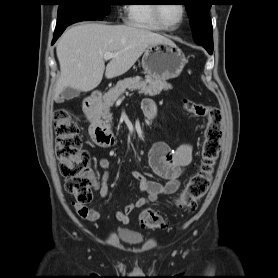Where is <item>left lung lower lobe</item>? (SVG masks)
<instances>
[{
    "label": "left lung lower lobe",
    "instance_id": "left-lung-lower-lobe-1",
    "mask_svg": "<svg viewBox=\"0 0 278 278\" xmlns=\"http://www.w3.org/2000/svg\"><path fill=\"white\" fill-rule=\"evenodd\" d=\"M204 48H206V50L208 51L209 54L213 53V48H210V47H204Z\"/></svg>",
    "mask_w": 278,
    "mask_h": 278
}]
</instances>
